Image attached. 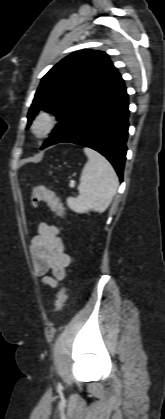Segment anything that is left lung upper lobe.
I'll return each mask as SVG.
<instances>
[{
    "label": "left lung upper lobe",
    "instance_id": "obj_1",
    "mask_svg": "<svg viewBox=\"0 0 165 419\" xmlns=\"http://www.w3.org/2000/svg\"><path fill=\"white\" fill-rule=\"evenodd\" d=\"M119 75L102 51L81 50L68 55L42 78L28 112L27 128L42 108L60 121L55 131L82 103Z\"/></svg>",
    "mask_w": 165,
    "mask_h": 419
}]
</instances>
